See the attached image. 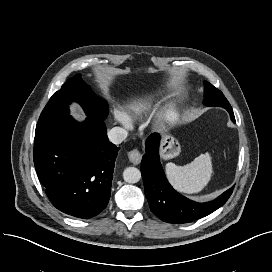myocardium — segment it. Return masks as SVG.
<instances>
[{"instance_id": "obj_1", "label": "myocardium", "mask_w": 272, "mask_h": 272, "mask_svg": "<svg viewBox=\"0 0 272 272\" xmlns=\"http://www.w3.org/2000/svg\"><path fill=\"white\" fill-rule=\"evenodd\" d=\"M178 117V113L175 108H168L163 111L160 115V121L162 123H172Z\"/></svg>"}]
</instances>
